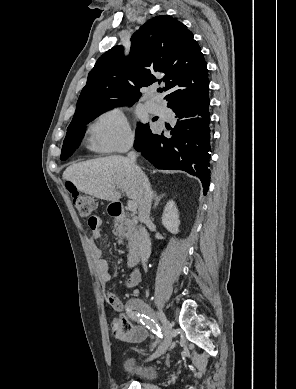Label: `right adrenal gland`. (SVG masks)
Listing matches in <instances>:
<instances>
[{"label":"right adrenal gland","instance_id":"obj_1","mask_svg":"<svg viewBox=\"0 0 296 389\" xmlns=\"http://www.w3.org/2000/svg\"><path fill=\"white\" fill-rule=\"evenodd\" d=\"M165 196V194H162V195H159L158 196V194H157V192L156 191H154V193H153V198H154V205H153V209H156L157 208V206L159 205V202H160V200L163 198Z\"/></svg>","mask_w":296,"mask_h":389}]
</instances>
